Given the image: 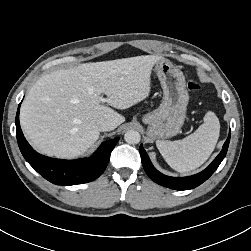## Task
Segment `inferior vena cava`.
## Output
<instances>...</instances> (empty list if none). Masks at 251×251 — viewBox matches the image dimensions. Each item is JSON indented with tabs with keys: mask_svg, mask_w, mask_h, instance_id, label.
<instances>
[{
	"mask_svg": "<svg viewBox=\"0 0 251 251\" xmlns=\"http://www.w3.org/2000/svg\"><path fill=\"white\" fill-rule=\"evenodd\" d=\"M97 125L100 131H110L116 128V125L112 121L105 118L98 119Z\"/></svg>",
	"mask_w": 251,
	"mask_h": 251,
	"instance_id": "1",
	"label": "inferior vena cava"
}]
</instances>
